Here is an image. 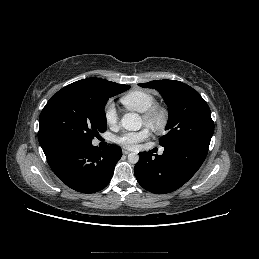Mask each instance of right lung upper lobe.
<instances>
[{"label":"right lung upper lobe","mask_w":259,"mask_h":259,"mask_svg":"<svg viewBox=\"0 0 259 259\" xmlns=\"http://www.w3.org/2000/svg\"><path fill=\"white\" fill-rule=\"evenodd\" d=\"M110 81L101 79V78H88V79H83L76 81L69 86L72 87H80V88H94V87H99L102 85L108 84Z\"/></svg>","instance_id":"obj_1"}]
</instances>
